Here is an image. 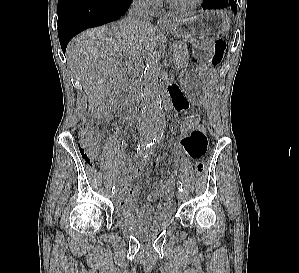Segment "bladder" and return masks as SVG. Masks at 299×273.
<instances>
[{"instance_id":"bladder-1","label":"bladder","mask_w":299,"mask_h":273,"mask_svg":"<svg viewBox=\"0 0 299 273\" xmlns=\"http://www.w3.org/2000/svg\"><path fill=\"white\" fill-rule=\"evenodd\" d=\"M116 222L123 227L140 234H147L159 231L169 226L174 219L173 211L167 214L157 213L148 218H139L115 210Z\"/></svg>"}]
</instances>
